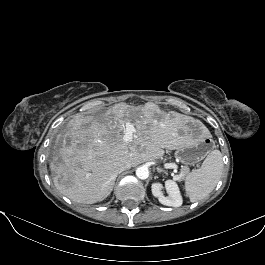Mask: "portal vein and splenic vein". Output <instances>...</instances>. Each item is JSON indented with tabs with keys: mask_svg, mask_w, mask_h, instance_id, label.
<instances>
[{
	"mask_svg": "<svg viewBox=\"0 0 265 265\" xmlns=\"http://www.w3.org/2000/svg\"><path fill=\"white\" fill-rule=\"evenodd\" d=\"M135 132H136V128L134 127V125L130 122L126 123L123 140L125 142H130L133 139ZM164 167L166 169H174V170L177 169V165H175L174 163H166Z\"/></svg>",
	"mask_w": 265,
	"mask_h": 265,
	"instance_id": "obj_1",
	"label": "portal vein and splenic vein"
}]
</instances>
